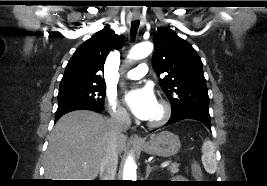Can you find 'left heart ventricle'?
Returning a JSON list of instances; mask_svg holds the SVG:
<instances>
[{"instance_id":"b2bd125f","label":"left heart ventricle","mask_w":267,"mask_h":186,"mask_svg":"<svg viewBox=\"0 0 267 186\" xmlns=\"http://www.w3.org/2000/svg\"><path fill=\"white\" fill-rule=\"evenodd\" d=\"M160 113H161V109H160V106L157 104L152 116L148 119V121L157 119L160 116Z\"/></svg>"}]
</instances>
